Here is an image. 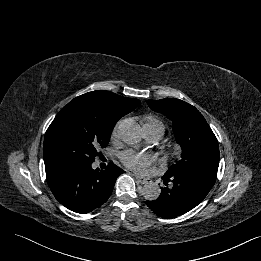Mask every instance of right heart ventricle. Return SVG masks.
Segmentation results:
<instances>
[{
    "label": "right heart ventricle",
    "instance_id": "1",
    "mask_svg": "<svg viewBox=\"0 0 261 261\" xmlns=\"http://www.w3.org/2000/svg\"><path fill=\"white\" fill-rule=\"evenodd\" d=\"M143 121H144L143 127L149 126V125H154V124H159L164 128L162 122L159 121L158 119H156L155 117L148 116V117H145Z\"/></svg>",
    "mask_w": 261,
    "mask_h": 261
}]
</instances>
